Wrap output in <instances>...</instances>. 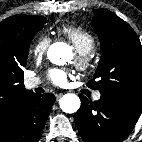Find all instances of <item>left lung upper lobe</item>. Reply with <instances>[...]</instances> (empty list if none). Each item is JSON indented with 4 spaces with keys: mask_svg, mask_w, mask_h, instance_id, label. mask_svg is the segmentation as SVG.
<instances>
[{
    "mask_svg": "<svg viewBox=\"0 0 142 142\" xmlns=\"http://www.w3.org/2000/svg\"><path fill=\"white\" fill-rule=\"evenodd\" d=\"M93 13L102 55L87 86L117 105L142 110V45L137 34L111 11L95 9Z\"/></svg>",
    "mask_w": 142,
    "mask_h": 142,
    "instance_id": "5c2ea615",
    "label": "left lung upper lobe"
}]
</instances>
